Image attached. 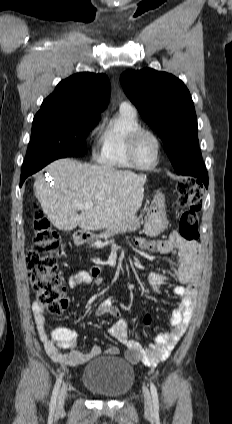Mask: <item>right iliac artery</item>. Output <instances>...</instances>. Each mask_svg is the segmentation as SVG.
Returning <instances> with one entry per match:
<instances>
[{
    "label": "right iliac artery",
    "mask_w": 232,
    "mask_h": 424,
    "mask_svg": "<svg viewBox=\"0 0 232 424\" xmlns=\"http://www.w3.org/2000/svg\"><path fill=\"white\" fill-rule=\"evenodd\" d=\"M61 382H62V374L59 376V378L57 379V381L54 385V389H53L51 401H50V411L51 412H54V410H55L56 401H57L59 389H60V386H61Z\"/></svg>",
    "instance_id": "82829eb1"
}]
</instances>
